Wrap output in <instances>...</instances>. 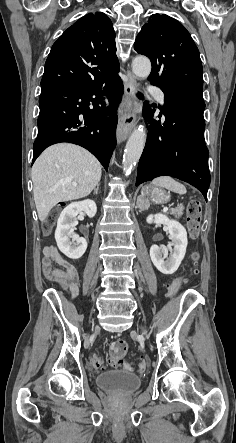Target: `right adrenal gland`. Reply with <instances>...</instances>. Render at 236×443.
I'll return each mask as SVG.
<instances>
[{"mask_svg":"<svg viewBox=\"0 0 236 443\" xmlns=\"http://www.w3.org/2000/svg\"><path fill=\"white\" fill-rule=\"evenodd\" d=\"M98 190H99V184H98L97 187L94 189V194H98Z\"/></svg>","mask_w":236,"mask_h":443,"instance_id":"2a0ac1e0","label":"right adrenal gland"}]
</instances>
